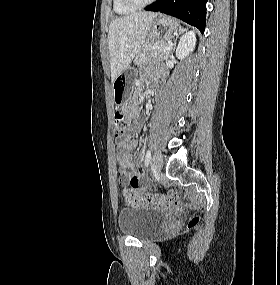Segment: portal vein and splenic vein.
I'll list each match as a JSON object with an SVG mask.
<instances>
[{
    "instance_id": "18ae733b",
    "label": "portal vein and splenic vein",
    "mask_w": 280,
    "mask_h": 285,
    "mask_svg": "<svg viewBox=\"0 0 280 285\" xmlns=\"http://www.w3.org/2000/svg\"><path fill=\"white\" fill-rule=\"evenodd\" d=\"M172 50V46L168 45L167 47H165V51H171Z\"/></svg>"
}]
</instances>
